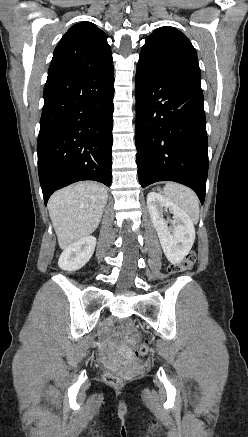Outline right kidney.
Listing matches in <instances>:
<instances>
[{"label": "right kidney", "instance_id": "obj_1", "mask_svg": "<svg viewBox=\"0 0 248 437\" xmlns=\"http://www.w3.org/2000/svg\"><path fill=\"white\" fill-rule=\"evenodd\" d=\"M96 246L94 236L84 237L64 249L60 255L58 265L67 271H76L82 268L92 257Z\"/></svg>", "mask_w": 248, "mask_h": 437}]
</instances>
